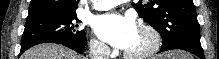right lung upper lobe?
Wrapping results in <instances>:
<instances>
[{
    "mask_svg": "<svg viewBox=\"0 0 219 59\" xmlns=\"http://www.w3.org/2000/svg\"><path fill=\"white\" fill-rule=\"evenodd\" d=\"M79 0H31L29 13L35 11H53L59 13H76Z\"/></svg>",
    "mask_w": 219,
    "mask_h": 59,
    "instance_id": "1",
    "label": "right lung upper lobe"
}]
</instances>
